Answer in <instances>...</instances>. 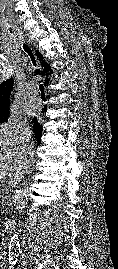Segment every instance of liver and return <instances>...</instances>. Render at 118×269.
I'll return each instance as SVG.
<instances>
[{
    "mask_svg": "<svg viewBox=\"0 0 118 269\" xmlns=\"http://www.w3.org/2000/svg\"><path fill=\"white\" fill-rule=\"evenodd\" d=\"M32 131L25 123L18 126L6 123L0 128V180L10 173L18 175L25 155V148Z\"/></svg>",
    "mask_w": 118,
    "mask_h": 269,
    "instance_id": "liver-1",
    "label": "liver"
}]
</instances>
